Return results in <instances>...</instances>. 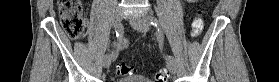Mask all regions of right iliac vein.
<instances>
[{
    "instance_id": "63e3f726",
    "label": "right iliac vein",
    "mask_w": 279,
    "mask_h": 82,
    "mask_svg": "<svg viewBox=\"0 0 279 82\" xmlns=\"http://www.w3.org/2000/svg\"><path fill=\"white\" fill-rule=\"evenodd\" d=\"M121 20H122V12L117 10L114 14V25H119L121 24ZM111 60H112V57L110 55H105L104 56V59H103V66L105 68H108L111 64Z\"/></svg>"
}]
</instances>
